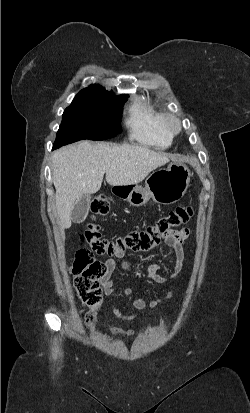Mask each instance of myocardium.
Wrapping results in <instances>:
<instances>
[{
  "label": "myocardium",
  "mask_w": 250,
  "mask_h": 413,
  "mask_svg": "<svg viewBox=\"0 0 250 413\" xmlns=\"http://www.w3.org/2000/svg\"><path fill=\"white\" fill-rule=\"evenodd\" d=\"M164 130L170 135H176L181 131V120L173 113H165L162 118Z\"/></svg>",
  "instance_id": "obj_1"
}]
</instances>
